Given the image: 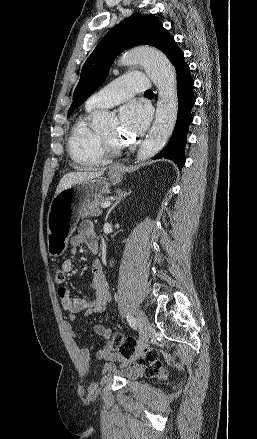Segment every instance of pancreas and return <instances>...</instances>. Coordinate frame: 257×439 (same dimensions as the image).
Wrapping results in <instances>:
<instances>
[{"label":"pancreas","instance_id":"cf45deb5","mask_svg":"<svg viewBox=\"0 0 257 439\" xmlns=\"http://www.w3.org/2000/svg\"><path fill=\"white\" fill-rule=\"evenodd\" d=\"M107 199L100 196L97 198H94L91 201H88L84 207L82 208V211L80 213V216L82 218L86 217H97L102 214V210L99 208L100 204L105 202Z\"/></svg>","mask_w":257,"mask_h":439}]
</instances>
